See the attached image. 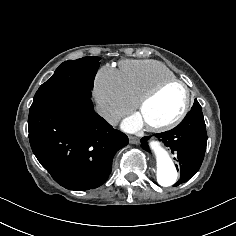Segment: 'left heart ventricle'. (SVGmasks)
Masks as SVG:
<instances>
[{"instance_id": "b2bd125f", "label": "left heart ventricle", "mask_w": 236, "mask_h": 236, "mask_svg": "<svg viewBox=\"0 0 236 236\" xmlns=\"http://www.w3.org/2000/svg\"><path fill=\"white\" fill-rule=\"evenodd\" d=\"M185 99L182 86L166 87L140 111L145 125L159 126L173 121L181 113Z\"/></svg>"}]
</instances>
